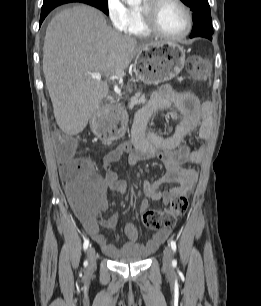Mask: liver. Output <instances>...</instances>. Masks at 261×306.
<instances>
[{
    "label": "liver",
    "mask_w": 261,
    "mask_h": 306,
    "mask_svg": "<svg viewBox=\"0 0 261 306\" xmlns=\"http://www.w3.org/2000/svg\"><path fill=\"white\" fill-rule=\"evenodd\" d=\"M154 44L117 33L91 6L55 15L44 39L43 73L60 129L69 135L82 132L108 95L107 82L92 74L123 72L141 50Z\"/></svg>",
    "instance_id": "1"
}]
</instances>
